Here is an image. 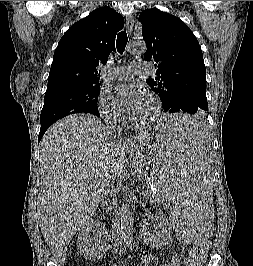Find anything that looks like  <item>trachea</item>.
I'll return each mask as SVG.
<instances>
[{
    "mask_svg": "<svg viewBox=\"0 0 253 266\" xmlns=\"http://www.w3.org/2000/svg\"><path fill=\"white\" fill-rule=\"evenodd\" d=\"M127 42H128L127 33L125 31H121L117 35V40H116V48L120 54H123V52L125 51Z\"/></svg>",
    "mask_w": 253,
    "mask_h": 266,
    "instance_id": "3493384b",
    "label": "trachea"
}]
</instances>
